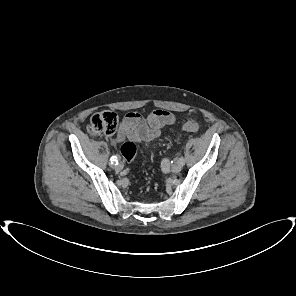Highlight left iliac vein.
I'll list each match as a JSON object with an SVG mask.
<instances>
[{
	"label": "left iliac vein",
	"instance_id": "1",
	"mask_svg": "<svg viewBox=\"0 0 296 296\" xmlns=\"http://www.w3.org/2000/svg\"><path fill=\"white\" fill-rule=\"evenodd\" d=\"M183 165L180 162H176L174 165L171 167V171L173 173H179L182 170Z\"/></svg>",
	"mask_w": 296,
	"mask_h": 296
}]
</instances>
